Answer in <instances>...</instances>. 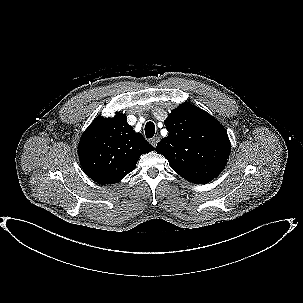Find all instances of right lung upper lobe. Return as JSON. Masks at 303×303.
<instances>
[{"label":"right lung upper lobe","mask_w":303,"mask_h":303,"mask_svg":"<svg viewBox=\"0 0 303 303\" xmlns=\"http://www.w3.org/2000/svg\"><path fill=\"white\" fill-rule=\"evenodd\" d=\"M154 150L142 134L135 133L126 116H98L83 133L78 155L85 174L100 184H114L136 167L142 154Z\"/></svg>","instance_id":"cb5924a9"}]
</instances>
